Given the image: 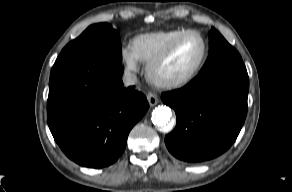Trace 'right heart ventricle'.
<instances>
[{
	"instance_id": "obj_1",
	"label": "right heart ventricle",
	"mask_w": 292,
	"mask_h": 192,
	"mask_svg": "<svg viewBox=\"0 0 292 192\" xmlns=\"http://www.w3.org/2000/svg\"><path fill=\"white\" fill-rule=\"evenodd\" d=\"M187 29L177 28L165 31L140 34L136 36L131 47L137 59L145 64L152 62L177 36Z\"/></svg>"
}]
</instances>
